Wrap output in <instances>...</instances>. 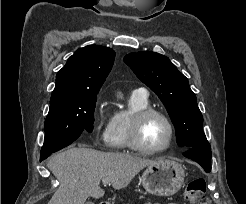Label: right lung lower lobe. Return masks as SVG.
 <instances>
[{
    "instance_id": "98d812e1",
    "label": "right lung lower lobe",
    "mask_w": 246,
    "mask_h": 204,
    "mask_svg": "<svg viewBox=\"0 0 246 204\" xmlns=\"http://www.w3.org/2000/svg\"><path fill=\"white\" fill-rule=\"evenodd\" d=\"M46 158H47L46 156L45 157H40V161H42V160H44Z\"/></svg>"
}]
</instances>
